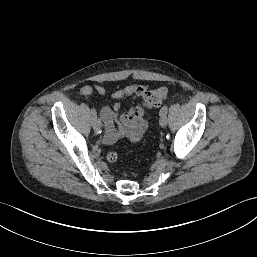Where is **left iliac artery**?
<instances>
[{
    "label": "left iliac artery",
    "mask_w": 257,
    "mask_h": 257,
    "mask_svg": "<svg viewBox=\"0 0 257 257\" xmlns=\"http://www.w3.org/2000/svg\"><path fill=\"white\" fill-rule=\"evenodd\" d=\"M167 111H168V106L167 105H164L160 112H159V115L162 116V115H166L167 114Z\"/></svg>",
    "instance_id": "obj_1"
}]
</instances>
